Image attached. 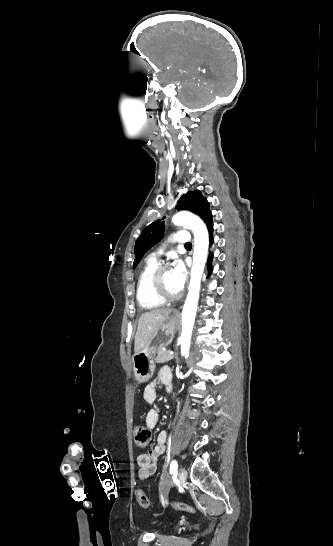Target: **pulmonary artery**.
Segmentation results:
<instances>
[{
	"mask_svg": "<svg viewBox=\"0 0 333 546\" xmlns=\"http://www.w3.org/2000/svg\"><path fill=\"white\" fill-rule=\"evenodd\" d=\"M189 241H190V234H189L188 231L181 230V231H178L175 234H173V242L186 244V243H189ZM158 256H159V252L153 253L150 256V259L157 261Z\"/></svg>",
	"mask_w": 333,
	"mask_h": 546,
	"instance_id": "e3ab8cb5",
	"label": "pulmonary artery"
}]
</instances>
